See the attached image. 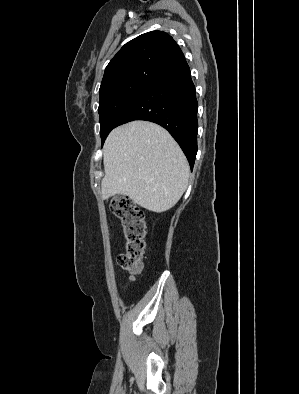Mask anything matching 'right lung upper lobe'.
Wrapping results in <instances>:
<instances>
[{"instance_id": "cb5924a9", "label": "right lung upper lobe", "mask_w": 299, "mask_h": 394, "mask_svg": "<svg viewBox=\"0 0 299 394\" xmlns=\"http://www.w3.org/2000/svg\"><path fill=\"white\" fill-rule=\"evenodd\" d=\"M184 62L183 52L170 35L144 33L126 43L109 62L99 94L126 83L152 84Z\"/></svg>"}]
</instances>
